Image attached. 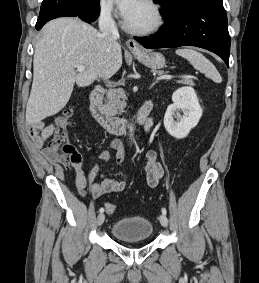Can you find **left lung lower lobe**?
Returning <instances> with one entry per match:
<instances>
[{
  "label": "left lung lower lobe",
  "instance_id": "0a47b994",
  "mask_svg": "<svg viewBox=\"0 0 259 283\" xmlns=\"http://www.w3.org/2000/svg\"><path fill=\"white\" fill-rule=\"evenodd\" d=\"M166 24L149 38H135L148 49L196 46L219 55L229 67L230 36L222 0H198L165 18Z\"/></svg>",
  "mask_w": 259,
  "mask_h": 283
}]
</instances>
